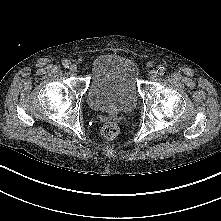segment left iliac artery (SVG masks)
<instances>
[{"instance_id":"44dca946","label":"left iliac artery","mask_w":221,"mask_h":221,"mask_svg":"<svg viewBox=\"0 0 221 221\" xmlns=\"http://www.w3.org/2000/svg\"><path fill=\"white\" fill-rule=\"evenodd\" d=\"M157 73H158L159 75H164V74L166 73V69L161 66V67H159V68L157 69Z\"/></svg>"}]
</instances>
